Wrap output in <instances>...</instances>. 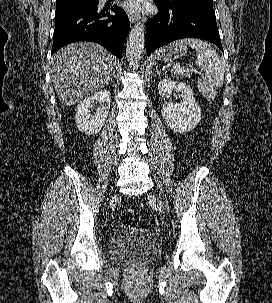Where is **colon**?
Returning a JSON list of instances; mask_svg holds the SVG:
<instances>
[{
	"label": "colon",
	"instance_id": "5ec220e1",
	"mask_svg": "<svg viewBox=\"0 0 272 303\" xmlns=\"http://www.w3.org/2000/svg\"><path fill=\"white\" fill-rule=\"evenodd\" d=\"M140 218L136 211L128 209L121 215V224L126 228H133L139 225Z\"/></svg>",
	"mask_w": 272,
	"mask_h": 303
}]
</instances>
